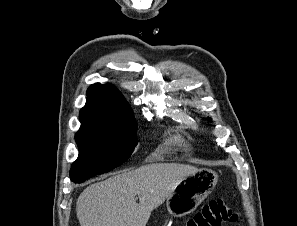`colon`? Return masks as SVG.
<instances>
[{"label": "colon", "instance_id": "5ec220e1", "mask_svg": "<svg viewBox=\"0 0 297 226\" xmlns=\"http://www.w3.org/2000/svg\"><path fill=\"white\" fill-rule=\"evenodd\" d=\"M236 223L238 216L220 199L205 204L185 226H221L223 222Z\"/></svg>", "mask_w": 297, "mask_h": 226}]
</instances>
